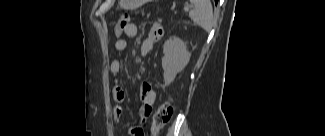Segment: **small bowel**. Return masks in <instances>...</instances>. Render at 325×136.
<instances>
[{
  "mask_svg": "<svg viewBox=\"0 0 325 136\" xmlns=\"http://www.w3.org/2000/svg\"><path fill=\"white\" fill-rule=\"evenodd\" d=\"M137 33V25L133 22L128 23L120 34L115 32V50L117 52L125 51L127 49L128 39L135 38ZM162 37L163 27L158 24L154 25L147 37L142 41L140 53L142 55H148L153 45ZM110 70L114 75H118L122 70V62L119 59H113L110 64ZM125 95V90L120 85H116L114 88V100L118 104L114 109V118L116 122L120 121L122 108L119 104L124 101ZM138 98L140 102L139 120L129 128V133L132 136H145L146 133L143 130V126L148 121L155 101V94L152 87L149 84L143 83L139 88Z\"/></svg>",
  "mask_w": 325,
  "mask_h": 136,
  "instance_id": "c3829d8e",
  "label": "small bowel"
}]
</instances>
